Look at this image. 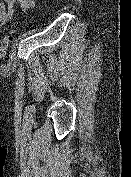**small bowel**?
<instances>
[{
	"label": "small bowel",
	"instance_id": "small-bowel-1",
	"mask_svg": "<svg viewBox=\"0 0 131 177\" xmlns=\"http://www.w3.org/2000/svg\"><path fill=\"white\" fill-rule=\"evenodd\" d=\"M34 5V0H0V29L13 20L17 8L27 11Z\"/></svg>",
	"mask_w": 131,
	"mask_h": 177
}]
</instances>
